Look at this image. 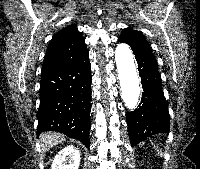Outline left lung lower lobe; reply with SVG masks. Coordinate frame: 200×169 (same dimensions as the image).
<instances>
[{"mask_svg": "<svg viewBox=\"0 0 200 169\" xmlns=\"http://www.w3.org/2000/svg\"><path fill=\"white\" fill-rule=\"evenodd\" d=\"M119 41L123 42L120 39ZM135 58L143 93L139 108L126 113L132 146L154 134L168 133L170 127L168 103L162 91L157 61L139 54Z\"/></svg>", "mask_w": 200, "mask_h": 169, "instance_id": "1", "label": "left lung lower lobe"}]
</instances>
